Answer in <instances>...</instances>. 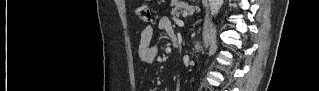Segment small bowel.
Masks as SVG:
<instances>
[{"instance_id":"c3829d8e","label":"small bowel","mask_w":319,"mask_h":91,"mask_svg":"<svg viewBox=\"0 0 319 91\" xmlns=\"http://www.w3.org/2000/svg\"><path fill=\"white\" fill-rule=\"evenodd\" d=\"M156 30L165 32L169 37L175 34L171 21L168 17H162L158 20L156 27L147 26L141 34L138 45V54L140 60L145 64H152L158 56V46L154 44Z\"/></svg>"}]
</instances>
